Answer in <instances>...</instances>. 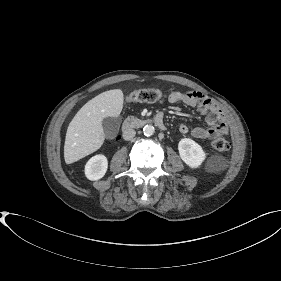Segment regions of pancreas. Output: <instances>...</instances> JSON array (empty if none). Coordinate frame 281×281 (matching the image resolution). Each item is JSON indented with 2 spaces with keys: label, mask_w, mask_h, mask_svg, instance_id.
Returning a JSON list of instances; mask_svg holds the SVG:
<instances>
[{
  "label": "pancreas",
  "mask_w": 281,
  "mask_h": 281,
  "mask_svg": "<svg viewBox=\"0 0 281 281\" xmlns=\"http://www.w3.org/2000/svg\"><path fill=\"white\" fill-rule=\"evenodd\" d=\"M137 121V118L135 117H128L126 120H125V124L128 125L130 123H133V122H136Z\"/></svg>",
  "instance_id": "cf45deb5"
}]
</instances>
